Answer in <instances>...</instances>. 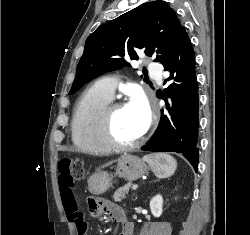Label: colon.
<instances>
[{
    "label": "colon",
    "mask_w": 250,
    "mask_h": 235,
    "mask_svg": "<svg viewBox=\"0 0 250 235\" xmlns=\"http://www.w3.org/2000/svg\"><path fill=\"white\" fill-rule=\"evenodd\" d=\"M59 185L62 188H71L75 181L83 177V163L80 159H63L58 164Z\"/></svg>",
    "instance_id": "obj_1"
}]
</instances>
